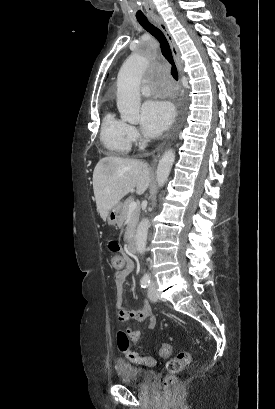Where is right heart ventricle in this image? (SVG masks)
Here are the masks:
<instances>
[{
	"label": "right heart ventricle",
	"instance_id": "1",
	"mask_svg": "<svg viewBox=\"0 0 275 409\" xmlns=\"http://www.w3.org/2000/svg\"><path fill=\"white\" fill-rule=\"evenodd\" d=\"M100 139L107 152L113 156L128 154L133 141L129 125L111 113H107L103 118Z\"/></svg>",
	"mask_w": 275,
	"mask_h": 409
}]
</instances>
